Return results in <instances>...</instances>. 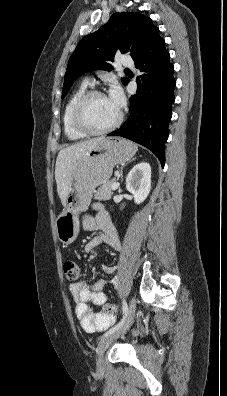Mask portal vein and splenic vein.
<instances>
[{"mask_svg": "<svg viewBox=\"0 0 227 396\" xmlns=\"http://www.w3.org/2000/svg\"><path fill=\"white\" fill-rule=\"evenodd\" d=\"M118 187H119V183H118V182H115V183L112 185V190H116Z\"/></svg>", "mask_w": 227, "mask_h": 396, "instance_id": "obj_1", "label": "portal vein and splenic vein"}]
</instances>
